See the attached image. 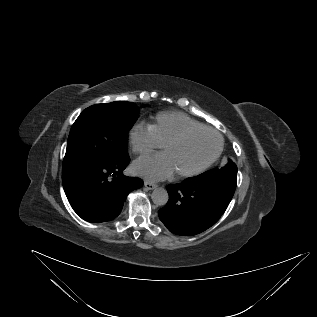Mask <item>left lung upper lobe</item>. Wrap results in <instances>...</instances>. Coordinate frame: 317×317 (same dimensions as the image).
<instances>
[{
    "label": "left lung upper lobe",
    "mask_w": 317,
    "mask_h": 317,
    "mask_svg": "<svg viewBox=\"0 0 317 317\" xmlns=\"http://www.w3.org/2000/svg\"><path fill=\"white\" fill-rule=\"evenodd\" d=\"M201 175L205 178H222L237 182V166L231 159H228L224 167L209 170Z\"/></svg>",
    "instance_id": "5c2ea615"
}]
</instances>
